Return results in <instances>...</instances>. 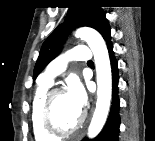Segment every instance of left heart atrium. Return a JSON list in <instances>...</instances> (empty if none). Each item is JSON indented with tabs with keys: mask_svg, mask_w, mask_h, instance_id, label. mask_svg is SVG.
<instances>
[{
	"mask_svg": "<svg viewBox=\"0 0 155 141\" xmlns=\"http://www.w3.org/2000/svg\"><path fill=\"white\" fill-rule=\"evenodd\" d=\"M66 95L73 107L81 113L87 102V95L84 87L79 81L69 82Z\"/></svg>",
	"mask_w": 155,
	"mask_h": 141,
	"instance_id": "left-heart-atrium-1",
	"label": "left heart atrium"
}]
</instances>
